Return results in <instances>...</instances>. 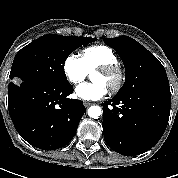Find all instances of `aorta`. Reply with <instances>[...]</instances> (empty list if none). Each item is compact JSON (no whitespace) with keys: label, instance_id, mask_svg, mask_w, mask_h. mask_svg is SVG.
<instances>
[{"label":"aorta","instance_id":"762f6f07","mask_svg":"<svg viewBox=\"0 0 178 178\" xmlns=\"http://www.w3.org/2000/svg\"><path fill=\"white\" fill-rule=\"evenodd\" d=\"M88 115L91 118L98 119L102 115V109L99 106H91L88 109Z\"/></svg>","mask_w":178,"mask_h":178}]
</instances>
